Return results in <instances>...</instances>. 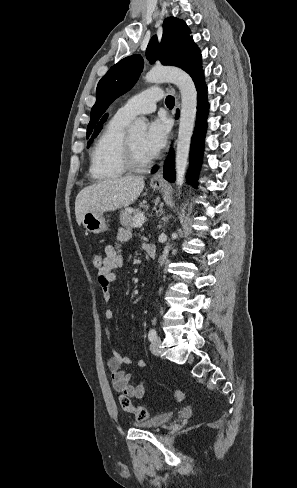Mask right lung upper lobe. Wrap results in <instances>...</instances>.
I'll list each match as a JSON object with an SVG mask.
<instances>
[{
	"instance_id": "right-lung-upper-lobe-1",
	"label": "right lung upper lobe",
	"mask_w": 297,
	"mask_h": 488,
	"mask_svg": "<svg viewBox=\"0 0 297 488\" xmlns=\"http://www.w3.org/2000/svg\"><path fill=\"white\" fill-rule=\"evenodd\" d=\"M106 118H107V115H105V116L102 118L101 122H99V124L97 125V127H96V129H95V131H94V135H93V137H94V136H96V135L99 133V131H100V129H101V126H102V123H103V122L106 120Z\"/></svg>"
}]
</instances>
